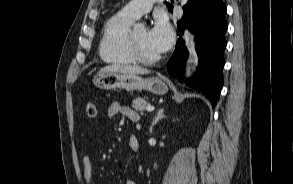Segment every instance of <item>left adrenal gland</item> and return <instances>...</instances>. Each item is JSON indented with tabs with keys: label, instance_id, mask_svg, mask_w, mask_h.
<instances>
[{
	"label": "left adrenal gland",
	"instance_id": "left-adrenal-gland-1",
	"mask_svg": "<svg viewBox=\"0 0 293 184\" xmlns=\"http://www.w3.org/2000/svg\"><path fill=\"white\" fill-rule=\"evenodd\" d=\"M166 116L164 115V109H159L157 112L156 116L154 117L151 125H150V131L153 129V127L158 123L159 120L165 118Z\"/></svg>",
	"mask_w": 293,
	"mask_h": 184
}]
</instances>
